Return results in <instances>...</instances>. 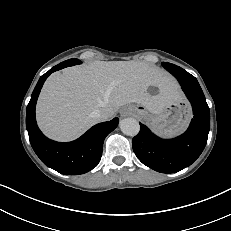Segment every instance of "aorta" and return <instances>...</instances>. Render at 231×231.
Masks as SVG:
<instances>
[{
  "label": "aorta",
  "mask_w": 231,
  "mask_h": 231,
  "mask_svg": "<svg viewBox=\"0 0 231 231\" xmlns=\"http://www.w3.org/2000/svg\"><path fill=\"white\" fill-rule=\"evenodd\" d=\"M121 131L128 136H136L140 131V125L134 118H125L120 121Z\"/></svg>",
  "instance_id": "1"
}]
</instances>
